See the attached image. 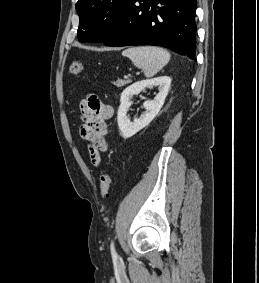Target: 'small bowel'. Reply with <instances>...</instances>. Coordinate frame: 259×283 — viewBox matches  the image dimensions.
Wrapping results in <instances>:
<instances>
[{"label": "small bowel", "instance_id": "obj_1", "mask_svg": "<svg viewBox=\"0 0 259 283\" xmlns=\"http://www.w3.org/2000/svg\"><path fill=\"white\" fill-rule=\"evenodd\" d=\"M113 108L96 96H88L80 102V136L88 142L91 163L98 167L100 155L108 150L107 120L112 118Z\"/></svg>", "mask_w": 259, "mask_h": 283}]
</instances>
